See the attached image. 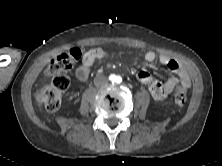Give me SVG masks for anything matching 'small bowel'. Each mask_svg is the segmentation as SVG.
<instances>
[{
	"label": "small bowel",
	"instance_id": "c3829d8e",
	"mask_svg": "<svg viewBox=\"0 0 222 166\" xmlns=\"http://www.w3.org/2000/svg\"><path fill=\"white\" fill-rule=\"evenodd\" d=\"M107 56L108 53L102 48H92L85 52L81 64L75 70L76 78L81 82L87 81L94 62ZM144 59L147 62L158 60L175 74V76L170 77L166 81H161L146 70H140L137 73V79L149 87V91L155 100L165 99L178 84L185 88L191 86V80L187 71L176 60L165 54H157L154 51L146 52Z\"/></svg>",
	"mask_w": 222,
	"mask_h": 166
}]
</instances>
